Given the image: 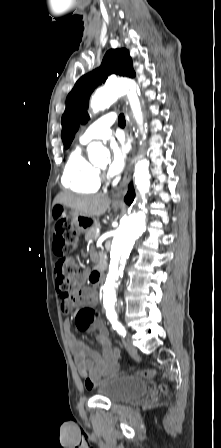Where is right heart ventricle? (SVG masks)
I'll list each match as a JSON object with an SVG mask.
<instances>
[{"label": "right heart ventricle", "instance_id": "e07e8e85", "mask_svg": "<svg viewBox=\"0 0 221 448\" xmlns=\"http://www.w3.org/2000/svg\"><path fill=\"white\" fill-rule=\"evenodd\" d=\"M62 184L77 193H94L100 187L99 172L77 146L70 154L62 175Z\"/></svg>", "mask_w": 221, "mask_h": 448}]
</instances>
